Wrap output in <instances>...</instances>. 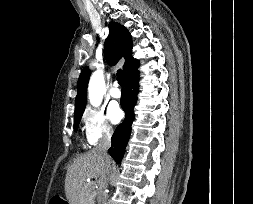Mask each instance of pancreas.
Instances as JSON below:
<instances>
[{
    "mask_svg": "<svg viewBox=\"0 0 253 204\" xmlns=\"http://www.w3.org/2000/svg\"><path fill=\"white\" fill-rule=\"evenodd\" d=\"M82 195L84 204H95V196H96L95 184L84 183L82 188Z\"/></svg>",
    "mask_w": 253,
    "mask_h": 204,
    "instance_id": "1",
    "label": "pancreas"
}]
</instances>
